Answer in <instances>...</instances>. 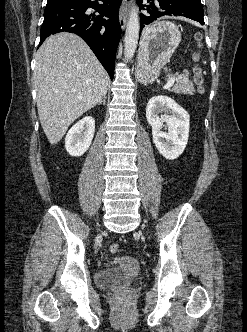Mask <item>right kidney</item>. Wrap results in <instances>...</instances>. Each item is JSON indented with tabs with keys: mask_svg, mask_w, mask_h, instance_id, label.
Returning <instances> with one entry per match:
<instances>
[{
	"mask_svg": "<svg viewBox=\"0 0 247 332\" xmlns=\"http://www.w3.org/2000/svg\"><path fill=\"white\" fill-rule=\"evenodd\" d=\"M95 132V120L86 116L71 127L65 138V148L71 156H82L91 145Z\"/></svg>",
	"mask_w": 247,
	"mask_h": 332,
	"instance_id": "right-kidney-1",
	"label": "right kidney"
}]
</instances>
